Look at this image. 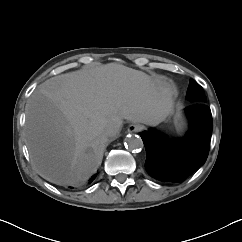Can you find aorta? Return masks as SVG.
Masks as SVG:
<instances>
[{
    "instance_id": "aorta-1",
    "label": "aorta",
    "mask_w": 242,
    "mask_h": 242,
    "mask_svg": "<svg viewBox=\"0 0 242 242\" xmlns=\"http://www.w3.org/2000/svg\"><path fill=\"white\" fill-rule=\"evenodd\" d=\"M126 147L130 150L136 151L143 147V141L138 135H129L126 138Z\"/></svg>"
}]
</instances>
